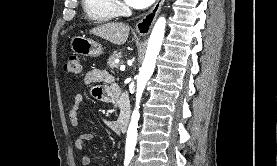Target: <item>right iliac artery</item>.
Here are the masks:
<instances>
[{"label":"right iliac artery","mask_w":277,"mask_h":166,"mask_svg":"<svg viewBox=\"0 0 277 166\" xmlns=\"http://www.w3.org/2000/svg\"><path fill=\"white\" fill-rule=\"evenodd\" d=\"M132 157H133V154H126L125 155L124 166H128L129 165Z\"/></svg>","instance_id":"right-iliac-artery-1"}]
</instances>
